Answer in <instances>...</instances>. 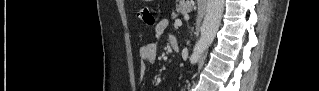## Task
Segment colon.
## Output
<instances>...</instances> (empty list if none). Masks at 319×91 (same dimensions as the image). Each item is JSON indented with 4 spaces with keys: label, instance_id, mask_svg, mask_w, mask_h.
Wrapping results in <instances>:
<instances>
[{
    "label": "colon",
    "instance_id": "5ec220e1",
    "mask_svg": "<svg viewBox=\"0 0 319 91\" xmlns=\"http://www.w3.org/2000/svg\"><path fill=\"white\" fill-rule=\"evenodd\" d=\"M138 18L147 26H153L155 25V17L152 13V10L147 7V6H144V7H141L139 10H138Z\"/></svg>",
    "mask_w": 319,
    "mask_h": 91
}]
</instances>
